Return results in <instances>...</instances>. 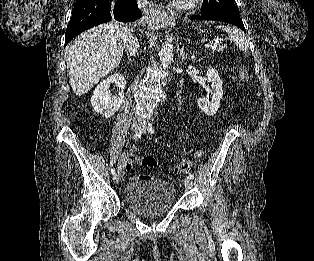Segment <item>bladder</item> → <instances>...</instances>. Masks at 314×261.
I'll use <instances>...</instances> for the list:
<instances>
[{
    "instance_id": "1",
    "label": "bladder",
    "mask_w": 314,
    "mask_h": 261,
    "mask_svg": "<svg viewBox=\"0 0 314 261\" xmlns=\"http://www.w3.org/2000/svg\"><path fill=\"white\" fill-rule=\"evenodd\" d=\"M124 202L133 211L147 218H157L176 202V188L163 181H133L124 188Z\"/></svg>"
}]
</instances>
